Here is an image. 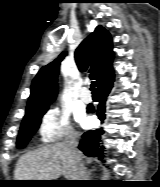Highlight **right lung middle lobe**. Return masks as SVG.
I'll list each match as a JSON object with an SVG mask.
<instances>
[{
    "label": "right lung middle lobe",
    "mask_w": 160,
    "mask_h": 187,
    "mask_svg": "<svg viewBox=\"0 0 160 187\" xmlns=\"http://www.w3.org/2000/svg\"><path fill=\"white\" fill-rule=\"evenodd\" d=\"M48 109L26 113L21 128L18 134L17 147L23 148L27 145L32 135L39 128L42 116L46 113Z\"/></svg>",
    "instance_id": "obj_1"
}]
</instances>
